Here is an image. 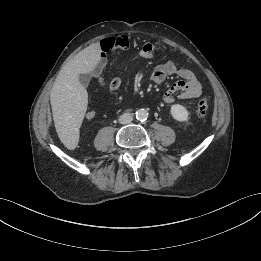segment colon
<instances>
[{
  "instance_id": "1",
  "label": "colon",
  "mask_w": 261,
  "mask_h": 261,
  "mask_svg": "<svg viewBox=\"0 0 261 261\" xmlns=\"http://www.w3.org/2000/svg\"><path fill=\"white\" fill-rule=\"evenodd\" d=\"M208 111V99L207 97H202L196 107V114L198 117L203 118Z\"/></svg>"
}]
</instances>
